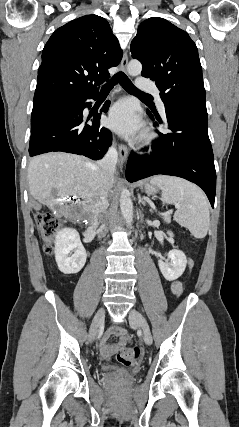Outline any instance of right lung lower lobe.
Wrapping results in <instances>:
<instances>
[{"label": "right lung lower lobe", "mask_w": 239, "mask_h": 427, "mask_svg": "<svg viewBox=\"0 0 239 427\" xmlns=\"http://www.w3.org/2000/svg\"><path fill=\"white\" fill-rule=\"evenodd\" d=\"M97 96L98 92L64 96L60 104L43 115L31 130L30 156L63 151L100 159L112 144V134L100 126V114L92 119L83 117V110L91 106L87 100H95ZM107 109L108 106L102 110L106 112Z\"/></svg>", "instance_id": "right-lung-lower-lobe-1"}]
</instances>
